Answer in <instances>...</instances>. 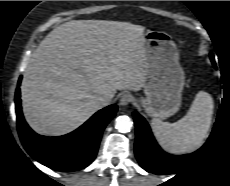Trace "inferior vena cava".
Instances as JSON below:
<instances>
[{
    "mask_svg": "<svg viewBox=\"0 0 230 186\" xmlns=\"http://www.w3.org/2000/svg\"><path fill=\"white\" fill-rule=\"evenodd\" d=\"M111 101V98L108 96H99L98 97V102L102 105L105 106Z\"/></svg>",
    "mask_w": 230,
    "mask_h": 186,
    "instance_id": "1",
    "label": "inferior vena cava"
}]
</instances>
